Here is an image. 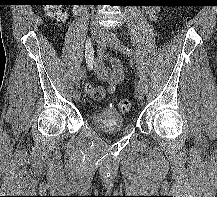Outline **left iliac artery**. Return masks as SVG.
<instances>
[{"label":"left iliac artery","instance_id":"obj_1","mask_svg":"<svg viewBox=\"0 0 217 197\" xmlns=\"http://www.w3.org/2000/svg\"><path fill=\"white\" fill-rule=\"evenodd\" d=\"M113 42L115 45V48L117 50H119L120 52H122L123 54H125L127 57H129L130 59H135V53L132 49L126 47L120 40L119 38L116 36V34H113Z\"/></svg>","mask_w":217,"mask_h":197}]
</instances>
